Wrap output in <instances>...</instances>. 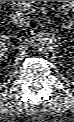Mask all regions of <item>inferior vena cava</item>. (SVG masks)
<instances>
[{
    "label": "inferior vena cava",
    "instance_id": "obj_1",
    "mask_svg": "<svg viewBox=\"0 0 74 122\" xmlns=\"http://www.w3.org/2000/svg\"><path fill=\"white\" fill-rule=\"evenodd\" d=\"M10 20L13 24L19 27L29 26L31 21L30 17L22 12H14L10 16Z\"/></svg>",
    "mask_w": 74,
    "mask_h": 122
}]
</instances>
